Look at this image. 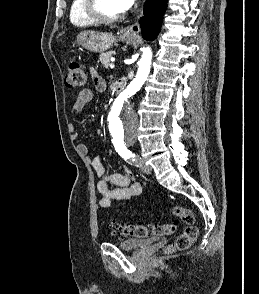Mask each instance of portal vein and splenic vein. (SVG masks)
Segmentation results:
<instances>
[{"mask_svg":"<svg viewBox=\"0 0 259 294\" xmlns=\"http://www.w3.org/2000/svg\"><path fill=\"white\" fill-rule=\"evenodd\" d=\"M109 66H110V68H112V69L115 67L114 63L109 64Z\"/></svg>","mask_w":259,"mask_h":294,"instance_id":"1","label":"portal vein and splenic vein"}]
</instances>
